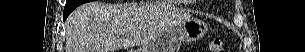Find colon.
I'll use <instances>...</instances> for the list:
<instances>
[{
  "label": "colon",
  "mask_w": 305,
  "mask_h": 52,
  "mask_svg": "<svg viewBox=\"0 0 305 52\" xmlns=\"http://www.w3.org/2000/svg\"><path fill=\"white\" fill-rule=\"evenodd\" d=\"M209 48L211 52H224L223 41L219 38H215L210 42Z\"/></svg>",
  "instance_id": "colon-1"
}]
</instances>
